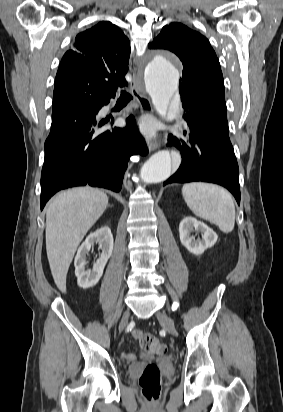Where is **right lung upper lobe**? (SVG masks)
Segmentation results:
<instances>
[{
	"mask_svg": "<svg viewBox=\"0 0 283 412\" xmlns=\"http://www.w3.org/2000/svg\"><path fill=\"white\" fill-rule=\"evenodd\" d=\"M129 56L128 38L110 22L78 34L56 75L52 115L81 101L115 97L117 87L127 86Z\"/></svg>",
	"mask_w": 283,
	"mask_h": 412,
	"instance_id": "cb5924a9",
	"label": "right lung upper lobe"
}]
</instances>
